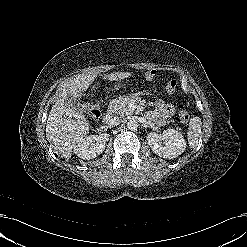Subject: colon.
<instances>
[{
    "instance_id": "1",
    "label": "colon",
    "mask_w": 247,
    "mask_h": 247,
    "mask_svg": "<svg viewBox=\"0 0 247 247\" xmlns=\"http://www.w3.org/2000/svg\"><path fill=\"white\" fill-rule=\"evenodd\" d=\"M177 82L174 79L168 80L164 85V91L168 95H172L176 92ZM90 119L98 118L100 115V108L98 106L92 107L88 112ZM178 118L183 123H187L190 120V114L184 105H179L177 108Z\"/></svg>"
}]
</instances>
